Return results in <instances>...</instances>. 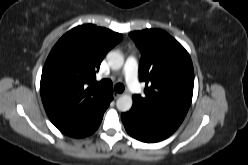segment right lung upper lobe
I'll use <instances>...</instances> for the list:
<instances>
[{"label": "right lung upper lobe", "instance_id": "right-lung-upper-lobe-1", "mask_svg": "<svg viewBox=\"0 0 248 165\" xmlns=\"http://www.w3.org/2000/svg\"><path fill=\"white\" fill-rule=\"evenodd\" d=\"M122 35L87 24L68 31L55 44L44 65L40 93L51 122L66 131L95 115L110 90L97 85L95 73Z\"/></svg>", "mask_w": 248, "mask_h": 165}]
</instances>
